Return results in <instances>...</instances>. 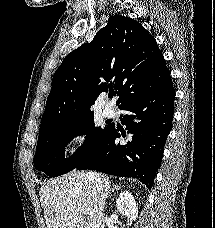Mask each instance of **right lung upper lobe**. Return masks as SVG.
Here are the masks:
<instances>
[{"label":"right lung upper lobe","instance_id":"right-lung-upper-lobe-1","mask_svg":"<svg viewBox=\"0 0 215 228\" xmlns=\"http://www.w3.org/2000/svg\"><path fill=\"white\" fill-rule=\"evenodd\" d=\"M169 75L155 38L137 21L112 16L91 43L69 53L56 70L41 127L94 114L90 108L107 83L118 90L120 106L137 83Z\"/></svg>","mask_w":215,"mask_h":228}]
</instances>
